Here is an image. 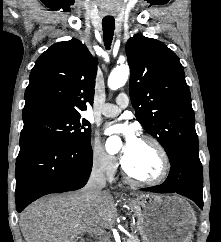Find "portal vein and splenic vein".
<instances>
[{"label": "portal vein and splenic vein", "instance_id": "1", "mask_svg": "<svg viewBox=\"0 0 221 242\" xmlns=\"http://www.w3.org/2000/svg\"><path fill=\"white\" fill-rule=\"evenodd\" d=\"M98 233H99V234H103V233H104V231H103V230H100Z\"/></svg>", "mask_w": 221, "mask_h": 242}]
</instances>
